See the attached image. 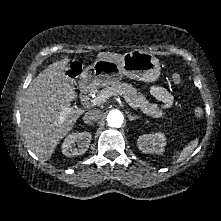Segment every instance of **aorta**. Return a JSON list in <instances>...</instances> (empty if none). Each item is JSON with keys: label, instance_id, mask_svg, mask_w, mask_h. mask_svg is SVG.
<instances>
[{"label": "aorta", "instance_id": "1", "mask_svg": "<svg viewBox=\"0 0 221 221\" xmlns=\"http://www.w3.org/2000/svg\"><path fill=\"white\" fill-rule=\"evenodd\" d=\"M124 117L121 111L111 110L107 115V123L110 127L119 128L123 123Z\"/></svg>", "mask_w": 221, "mask_h": 221}]
</instances>
